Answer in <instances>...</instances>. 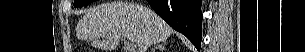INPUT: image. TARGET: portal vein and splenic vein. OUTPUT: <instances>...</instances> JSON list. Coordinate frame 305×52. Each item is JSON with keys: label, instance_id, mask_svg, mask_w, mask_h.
I'll return each mask as SVG.
<instances>
[{"label": "portal vein and splenic vein", "instance_id": "1", "mask_svg": "<svg viewBox=\"0 0 305 52\" xmlns=\"http://www.w3.org/2000/svg\"><path fill=\"white\" fill-rule=\"evenodd\" d=\"M124 42H125L126 48L129 50V52H134V50H135L134 43H129L125 39H124Z\"/></svg>", "mask_w": 305, "mask_h": 52}]
</instances>
